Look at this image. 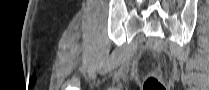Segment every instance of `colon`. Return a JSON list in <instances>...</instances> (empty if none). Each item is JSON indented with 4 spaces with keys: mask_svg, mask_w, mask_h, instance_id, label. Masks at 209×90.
Returning <instances> with one entry per match:
<instances>
[{
    "mask_svg": "<svg viewBox=\"0 0 209 90\" xmlns=\"http://www.w3.org/2000/svg\"><path fill=\"white\" fill-rule=\"evenodd\" d=\"M143 90H167V86L158 77L150 76L145 80Z\"/></svg>",
    "mask_w": 209,
    "mask_h": 90,
    "instance_id": "colon-1",
    "label": "colon"
}]
</instances>
